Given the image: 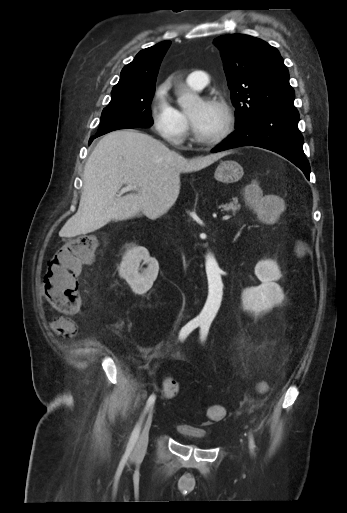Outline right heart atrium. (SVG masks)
<instances>
[{"instance_id": "d8ad5b80", "label": "right heart atrium", "mask_w": 347, "mask_h": 513, "mask_svg": "<svg viewBox=\"0 0 347 513\" xmlns=\"http://www.w3.org/2000/svg\"><path fill=\"white\" fill-rule=\"evenodd\" d=\"M150 117L154 132L166 143L182 146L189 134L187 117L168 99V84H160L150 102Z\"/></svg>"}]
</instances>
